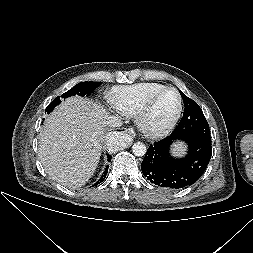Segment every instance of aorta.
<instances>
[{"instance_id": "762f6f07", "label": "aorta", "mask_w": 253, "mask_h": 253, "mask_svg": "<svg viewBox=\"0 0 253 253\" xmlns=\"http://www.w3.org/2000/svg\"><path fill=\"white\" fill-rule=\"evenodd\" d=\"M132 151H133L135 156H138V157L144 156L146 154L147 147L142 142H136L132 146Z\"/></svg>"}]
</instances>
